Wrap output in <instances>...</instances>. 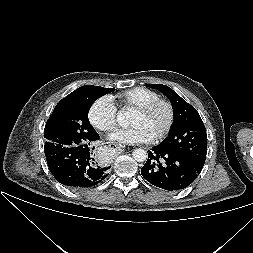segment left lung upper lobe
Instances as JSON below:
<instances>
[{"label": "left lung upper lobe", "mask_w": 253, "mask_h": 253, "mask_svg": "<svg viewBox=\"0 0 253 253\" xmlns=\"http://www.w3.org/2000/svg\"><path fill=\"white\" fill-rule=\"evenodd\" d=\"M147 86L165 94L174 112L169 135L158 146L203 167L207 154V135L199 113L170 87L162 84Z\"/></svg>", "instance_id": "left-lung-upper-lobe-1"}]
</instances>
